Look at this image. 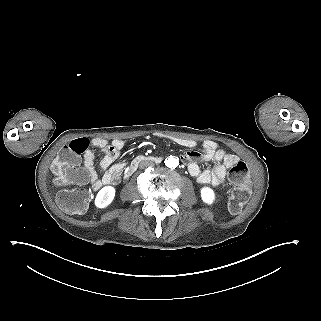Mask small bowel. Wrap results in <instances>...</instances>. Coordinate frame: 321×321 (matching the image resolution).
<instances>
[{
  "instance_id": "obj_1",
  "label": "small bowel",
  "mask_w": 321,
  "mask_h": 321,
  "mask_svg": "<svg viewBox=\"0 0 321 321\" xmlns=\"http://www.w3.org/2000/svg\"><path fill=\"white\" fill-rule=\"evenodd\" d=\"M164 137L172 142L186 147L194 148L196 142L192 139L157 135ZM92 146L100 149L104 156L100 162L102 175L99 177L94 164V153L89 149L84 155V167L88 172L89 181L94 190H99L105 185L117 182L125 169L124 163H114L124 148V141L113 139L108 141L104 138H94L91 140ZM181 159L187 164L189 174L197 182L206 185L218 186L224 183L227 168L231 167L238 161L234 154L227 153L220 149L216 142L208 140L203 144L201 152L189 150L181 155ZM213 161L214 165L209 169H201L198 161Z\"/></svg>"
}]
</instances>
